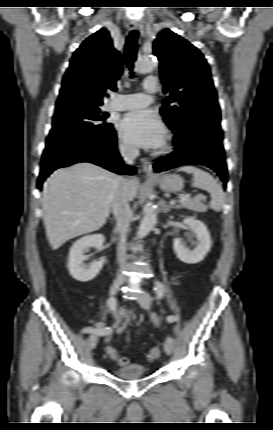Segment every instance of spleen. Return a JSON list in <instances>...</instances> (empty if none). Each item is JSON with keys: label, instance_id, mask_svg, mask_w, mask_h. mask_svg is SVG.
Here are the masks:
<instances>
[{"label": "spleen", "instance_id": "3e777b00", "mask_svg": "<svg viewBox=\"0 0 273 430\" xmlns=\"http://www.w3.org/2000/svg\"><path fill=\"white\" fill-rule=\"evenodd\" d=\"M188 174H193L192 186L204 189L211 195L210 207L219 212L224 207V195L221 186L206 171L192 165H186L177 169Z\"/></svg>", "mask_w": 273, "mask_h": 430}]
</instances>
